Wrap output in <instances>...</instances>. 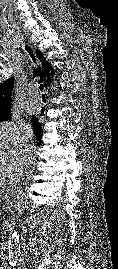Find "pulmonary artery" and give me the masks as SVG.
<instances>
[{
  "instance_id": "obj_1",
  "label": "pulmonary artery",
  "mask_w": 118,
  "mask_h": 269,
  "mask_svg": "<svg viewBox=\"0 0 118 269\" xmlns=\"http://www.w3.org/2000/svg\"><path fill=\"white\" fill-rule=\"evenodd\" d=\"M30 101H31L32 103L37 104V103H39L40 100H39V98H36V97H35V98H31Z\"/></svg>"
}]
</instances>
